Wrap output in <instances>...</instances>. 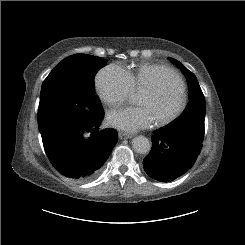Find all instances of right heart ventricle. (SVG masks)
Wrapping results in <instances>:
<instances>
[{"instance_id":"1","label":"right heart ventricle","mask_w":245,"mask_h":245,"mask_svg":"<svg viewBox=\"0 0 245 245\" xmlns=\"http://www.w3.org/2000/svg\"><path fill=\"white\" fill-rule=\"evenodd\" d=\"M167 69L163 65L145 63L134 70L127 71V73L133 85V90L143 91L147 87L156 84L161 73Z\"/></svg>"}]
</instances>
